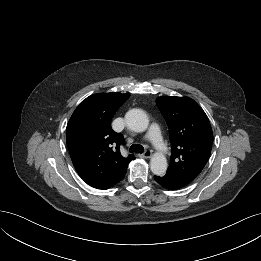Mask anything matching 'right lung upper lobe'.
I'll return each mask as SVG.
<instances>
[{"mask_svg": "<svg viewBox=\"0 0 261 261\" xmlns=\"http://www.w3.org/2000/svg\"><path fill=\"white\" fill-rule=\"evenodd\" d=\"M130 97L118 92L93 94L73 112L66 140L73 165L82 179L97 189H108L126 174L133 155L123 157V137L111 129V119Z\"/></svg>", "mask_w": 261, "mask_h": 261, "instance_id": "cb5924a9", "label": "right lung upper lobe"}]
</instances>
